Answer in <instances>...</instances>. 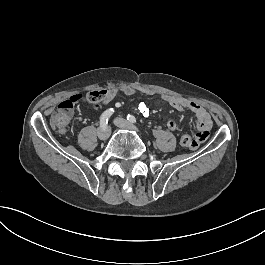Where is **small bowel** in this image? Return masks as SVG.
Listing matches in <instances>:
<instances>
[{
    "label": "small bowel",
    "instance_id": "1",
    "mask_svg": "<svg viewBox=\"0 0 265 265\" xmlns=\"http://www.w3.org/2000/svg\"><path fill=\"white\" fill-rule=\"evenodd\" d=\"M123 94V95H147L152 96L154 95V91L151 89L138 87V86H120V87H111L106 92V103L111 102L117 95ZM162 100L171 106L172 108L176 109L177 111L183 112V113H190L195 118V124L197 127V132L195 135V139L191 146L198 150L201 147L200 142L205 141L211 131L212 121L209 113L207 110L201 106L199 103L173 95H162ZM167 128L171 132H175L178 128L177 123L173 119H168L166 122Z\"/></svg>",
    "mask_w": 265,
    "mask_h": 265
}]
</instances>
